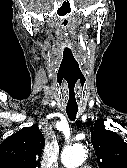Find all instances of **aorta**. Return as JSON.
<instances>
[{
    "mask_svg": "<svg viewBox=\"0 0 127 168\" xmlns=\"http://www.w3.org/2000/svg\"><path fill=\"white\" fill-rule=\"evenodd\" d=\"M86 151L82 145L76 144L66 148L62 153V163L67 168H76L86 159Z\"/></svg>",
    "mask_w": 127,
    "mask_h": 168,
    "instance_id": "aorta-1",
    "label": "aorta"
}]
</instances>
